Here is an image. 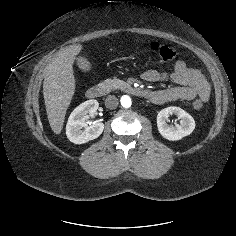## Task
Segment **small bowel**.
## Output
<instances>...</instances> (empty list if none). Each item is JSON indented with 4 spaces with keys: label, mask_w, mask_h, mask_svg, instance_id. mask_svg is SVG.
I'll use <instances>...</instances> for the list:
<instances>
[{
    "label": "small bowel",
    "mask_w": 236,
    "mask_h": 236,
    "mask_svg": "<svg viewBox=\"0 0 236 236\" xmlns=\"http://www.w3.org/2000/svg\"><path fill=\"white\" fill-rule=\"evenodd\" d=\"M142 78L150 83L157 81H170L177 86L149 91L148 98L157 104L176 100H193L200 98L207 102L210 97V85L206 77L197 69L187 66L185 61H178L171 73L161 69H149L142 74Z\"/></svg>",
    "instance_id": "1"
}]
</instances>
